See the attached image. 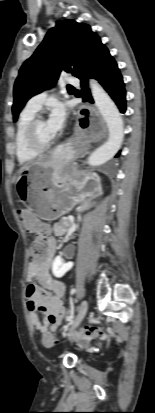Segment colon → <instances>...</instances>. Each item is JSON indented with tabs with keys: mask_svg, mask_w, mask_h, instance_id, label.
Instances as JSON below:
<instances>
[{
	"mask_svg": "<svg viewBox=\"0 0 155 413\" xmlns=\"http://www.w3.org/2000/svg\"><path fill=\"white\" fill-rule=\"evenodd\" d=\"M37 232V231H36ZM30 256L34 261L42 262L47 256V249L42 240L37 239L33 242L30 249ZM106 337V333L96 327H87L84 330L83 339L87 338H100L103 339ZM41 341L43 345L49 347L54 344V337L50 332H45L42 334Z\"/></svg>",
	"mask_w": 155,
	"mask_h": 413,
	"instance_id": "5ec220e1",
	"label": "colon"
}]
</instances>
